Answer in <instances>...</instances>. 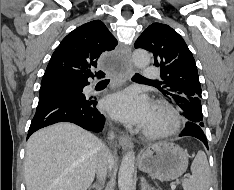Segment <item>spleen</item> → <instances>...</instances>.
<instances>
[{
  "label": "spleen",
  "instance_id": "obj_1",
  "mask_svg": "<svg viewBox=\"0 0 234 190\" xmlns=\"http://www.w3.org/2000/svg\"><path fill=\"white\" fill-rule=\"evenodd\" d=\"M192 176L182 181L184 190H208L210 186V169L203 151H198L191 165Z\"/></svg>",
  "mask_w": 234,
  "mask_h": 190
}]
</instances>
